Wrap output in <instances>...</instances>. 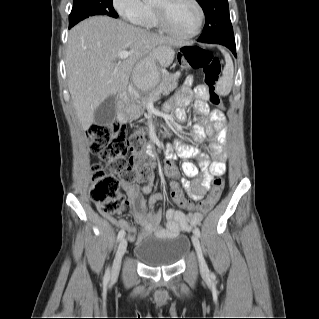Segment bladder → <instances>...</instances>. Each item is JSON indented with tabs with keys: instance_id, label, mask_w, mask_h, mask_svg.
Listing matches in <instances>:
<instances>
[{
	"instance_id": "obj_1",
	"label": "bladder",
	"mask_w": 319,
	"mask_h": 319,
	"mask_svg": "<svg viewBox=\"0 0 319 319\" xmlns=\"http://www.w3.org/2000/svg\"><path fill=\"white\" fill-rule=\"evenodd\" d=\"M188 235L177 234L170 237L147 235L134 247V256L148 267L174 265L190 251Z\"/></svg>"
}]
</instances>
